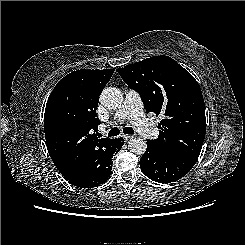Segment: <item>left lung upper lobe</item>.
Listing matches in <instances>:
<instances>
[{"mask_svg": "<svg viewBox=\"0 0 245 245\" xmlns=\"http://www.w3.org/2000/svg\"><path fill=\"white\" fill-rule=\"evenodd\" d=\"M117 72L140 94L147 112L165 115L158 124L159 137L148 142L164 154L198 158L206 117L195 78L174 59L163 55L118 68Z\"/></svg>", "mask_w": 245, "mask_h": 245, "instance_id": "left-lung-upper-lobe-1", "label": "left lung upper lobe"}]
</instances>
